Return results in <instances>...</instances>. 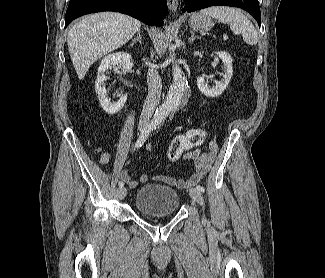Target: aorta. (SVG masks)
Here are the masks:
<instances>
[{
    "mask_svg": "<svg viewBox=\"0 0 325 278\" xmlns=\"http://www.w3.org/2000/svg\"><path fill=\"white\" fill-rule=\"evenodd\" d=\"M174 60L175 54L170 52L169 61L173 63V84L170 86L166 100L155 112L154 120L159 123H161L171 111L180 106L188 88L187 78L182 69L178 65L174 64Z\"/></svg>",
    "mask_w": 325,
    "mask_h": 278,
    "instance_id": "obj_1",
    "label": "aorta"
}]
</instances>
